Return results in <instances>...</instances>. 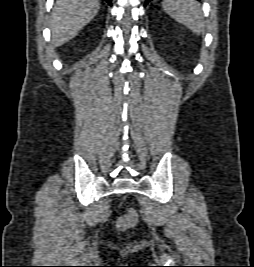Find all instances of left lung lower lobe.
<instances>
[{
  "instance_id": "1",
  "label": "left lung lower lobe",
  "mask_w": 254,
  "mask_h": 267,
  "mask_svg": "<svg viewBox=\"0 0 254 267\" xmlns=\"http://www.w3.org/2000/svg\"><path fill=\"white\" fill-rule=\"evenodd\" d=\"M150 1H152V0H146V1H145V6H146Z\"/></svg>"
}]
</instances>
